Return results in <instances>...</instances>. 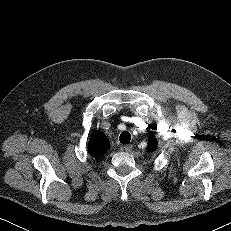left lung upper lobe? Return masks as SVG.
<instances>
[{"instance_id":"1","label":"left lung upper lobe","mask_w":231,"mask_h":231,"mask_svg":"<svg viewBox=\"0 0 231 231\" xmlns=\"http://www.w3.org/2000/svg\"><path fill=\"white\" fill-rule=\"evenodd\" d=\"M149 151L155 150L157 148V140L154 137L153 133L149 135V141H148Z\"/></svg>"}]
</instances>
